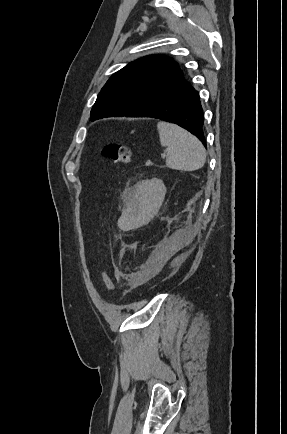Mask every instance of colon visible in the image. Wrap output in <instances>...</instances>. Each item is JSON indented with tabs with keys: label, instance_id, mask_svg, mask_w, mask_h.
I'll return each mask as SVG.
<instances>
[{
	"label": "colon",
	"instance_id": "obj_1",
	"mask_svg": "<svg viewBox=\"0 0 287 434\" xmlns=\"http://www.w3.org/2000/svg\"><path fill=\"white\" fill-rule=\"evenodd\" d=\"M103 154L107 158L122 164H129L132 160L131 149L128 146L121 145V144L113 143V144L106 145L103 149ZM102 283L104 288L107 291H113L114 282L112 276L108 271L103 272Z\"/></svg>",
	"mask_w": 287,
	"mask_h": 434
}]
</instances>
